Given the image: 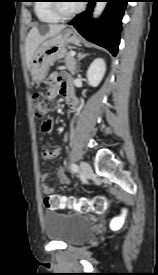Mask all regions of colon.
Here are the masks:
<instances>
[{
    "instance_id": "1",
    "label": "colon",
    "mask_w": 158,
    "mask_h": 275,
    "mask_svg": "<svg viewBox=\"0 0 158 275\" xmlns=\"http://www.w3.org/2000/svg\"><path fill=\"white\" fill-rule=\"evenodd\" d=\"M34 114L36 118H43L47 115L52 106V99L41 92H36L32 96ZM44 205L49 210H60L64 208L75 209L81 213H103L108 205V200L104 196L94 198H74L61 195H48L44 198Z\"/></svg>"
}]
</instances>
